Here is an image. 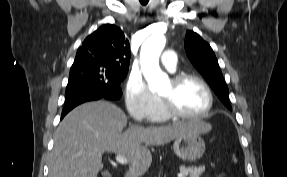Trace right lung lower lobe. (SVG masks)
Here are the masks:
<instances>
[{"instance_id":"98d812e1","label":"right lung lower lobe","mask_w":287,"mask_h":177,"mask_svg":"<svg viewBox=\"0 0 287 177\" xmlns=\"http://www.w3.org/2000/svg\"><path fill=\"white\" fill-rule=\"evenodd\" d=\"M121 94L120 87L108 89L102 85L87 83L67 86L65 92L66 99L61 118L79 104L100 99H118Z\"/></svg>"}]
</instances>
